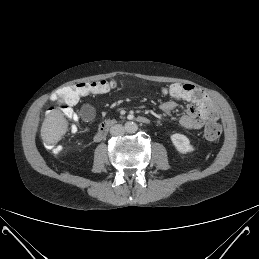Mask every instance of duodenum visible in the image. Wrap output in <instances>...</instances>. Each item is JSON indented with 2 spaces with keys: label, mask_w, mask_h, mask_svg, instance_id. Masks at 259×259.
I'll return each instance as SVG.
<instances>
[{
  "label": "duodenum",
  "mask_w": 259,
  "mask_h": 259,
  "mask_svg": "<svg viewBox=\"0 0 259 259\" xmlns=\"http://www.w3.org/2000/svg\"><path fill=\"white\" fill-rule=\"evenodd\" d=\"M136 120L139 123H143V124H148L150 122V120L147 117H145V116H138L136 118ZM114 123L115 122L113 120H108V121L103 122L99 126V128H98V130H97V132H96V134L94 136V139L96 141L102 140L106 136V134H107L108 130L110 129V127L114 125Z\"/></svg>",
  "instance_id": "duodenum-1"
}]
</instances>
